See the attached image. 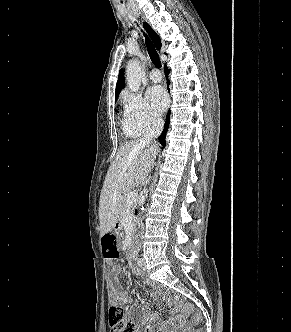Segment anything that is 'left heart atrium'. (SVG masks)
I'll list each match as a JSON object with an SVG mask.
<instances>
[{
	"label": "left heart atrium",
	"mask_w": 291,
	"mask_h": 332,
	"mask_svg": "<svg viewBox=\"0 0 291 332\" xmlns=\"http://www.w3.org/2000/svg\"><path fill=\"white\" fill-rule=\"evenodd\" d=\"M147 97L155 113L161 114L168 105V97L160 86H152L147 90Z\"/></svg>",
	"instance_id": "1"
}]
</instances>
